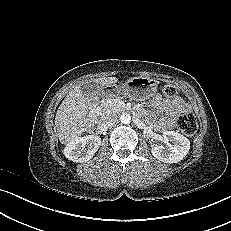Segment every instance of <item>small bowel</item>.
<instances>
[{"instance_id": "c3829d8e", "label": "small bowel", "mask_w": 231, "mask_h": 231, "mask_svg": "<svg viewBox=\"0 0 231 231\" xmlns=\"http://www.w3.org/2000/svg\"><path fill=\"white\" fill-rule=\"evenodd\" d=\"M151 112H145L139 109L141 114L146 116L148 122L154 124L159 131H168L174 126L176 118L190 110L189 105L180 97L174 99H165L161 95H156L151 101ZM163 113L158 118L157 114Z\"/></svg>"}]
</instances>
